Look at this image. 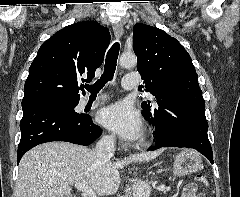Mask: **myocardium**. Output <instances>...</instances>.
I'll list each match as a JSON object with an SVG mask.
<instances>
[{
  "instance_id": "1",
  "label": "myocardium",
  "mask_w": 240,
  "mask_h": 197,
  "mask_svg": "<svg viewBox=\"0 0 240 197\" xmlns=\"http://www.w3.org/2000/svg\"><path fill=\"white\" fill-rule=\"evenodd\" d=\"M148 143H149V141H148L147 138H144V139L142 140V144H143V145H148Z\"/></svg>"
}]
</instances>
